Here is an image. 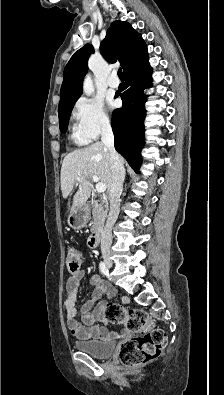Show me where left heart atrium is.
Returning a JSON list of instances; mask_svg holds the SVG:
<instances>
[{
    "label": "left heart atrium",
    "instance_id": "1",
    "mask_svg": "<svg viewBox=\"0 0 224 395\" xmlns=\"http://www.w3.org/2000/svg\"><path fill=\"white\" fill-rule=\"evenodd\" d=\"M108 104H109V106H110L111 108H113V107L116 106V103H115V101H113V100H109V101H108Z\"/></svg>",
    "mask_w": 224,
    "mask_h": 395
}]
</instances>
